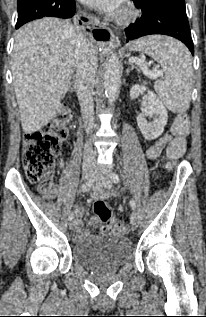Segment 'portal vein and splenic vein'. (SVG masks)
I'll use <instances>...</instances> for the list:
<instances>
[{
	"instance_id": "portal-vein-and-splenic-vein-1",
	"label": "portal vein and splenic vein",
	"mask_w": 206,
	"mask_h": 317,
	"mask_svg": "<svg viewBox=\"0 0 206 317\" xmlns=\"http://www.w3.org/2000/svg\"><path fill=\"white\" fill-rule=\"evenodd\" d=\"M129 61L131 63H134L136 65H138L140 67V69L145 73V75L150 78V79H156L158 77H161L162 76V73L159 72V71H150L148 68H147V65L144 63V61L142 59H139L137 57H132L129 59ZM49 62L52 64V65H58V66H62L63 65V62L60 61V60H57V59H54V58H50L49 59Z\"/></svg>"
}]
</instances>
